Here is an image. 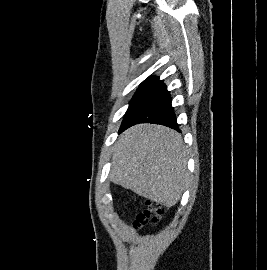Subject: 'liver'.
I'll return each mask as SVG.
<instances>
[{
    "label": "liver",
    "instance_id": "obj_1",
    "mask_svg": "<svg viewBox=\"0 0 267 270\" xmlns=\"http://www.w3.org/2000/svg\"><path fill=\"white\" fill-rule=\"evenodd\" d=\"M188 177L186 150L174 130L139 124L123 132L115 144L110 179L141 197L172 207Z\"/></svg>",
    "mask_w": 267,
    "mask_h": 270
}]
</instances>
